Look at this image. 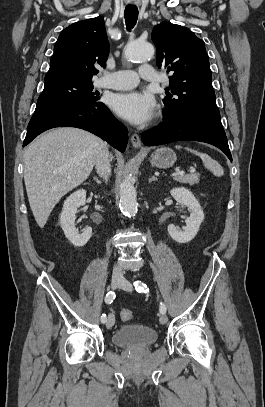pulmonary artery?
Listing matches in <instances>:
<instances>
[{"label":"pulmonary artery","mask_w":265,"mask_h":407,"mask_svg":"<svg viewBox=\"0 0 265 407\" xmlns=\"http://www.w3.org/2000/svg\"><path fill=\"white\" fill-rule=\"evenodd\" d=\"M140 79L155 82L157 74L154 68L151 65H143L139 68L138 72L132 70L104 72L98 81V85L115 90H126L134 88Z\"/></svg>","instance_id":"obj_1"}]
</instances>
